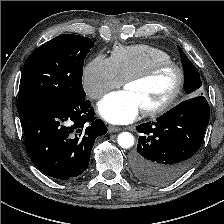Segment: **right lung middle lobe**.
<instances>
[{"mask_svg":"<svg viewBox=\"0 0 224 224\" xmlns=\"http://www.w3.org/2000/svg\"><path fill=\"white\" fill-rule=\"evenodd\" d=\"M93 45L90 38L64 34L34 50L21 75L17 111L44 99H85L83 64Z\"/></svg>","mask_w":224,"mask_h":224,"instance_id":"right-lung-middle-lobe-1","label":"right lung middle lobe"}]
</instances>
